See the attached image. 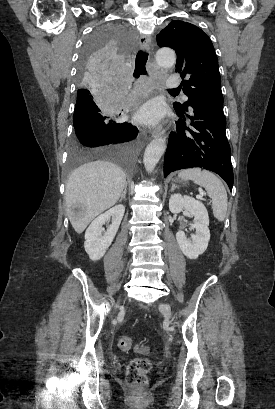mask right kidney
<instances>
[{
	"instance_id": "1",
	"label": "right kidney",
	"mask_w": 275,
	"mask_h": 409,
	"mask_svg": "<svg viewBox=\"0 0 275 409\" xmlns=\"http://www.w3.org/2000/svg\"><path fill=\"white\" fill-rule=\"evenodd\" d=\"M124 213L125 207L123 205H116V207H112L103 215H99L88 227L85 233L86 241L84 247L91 261H99V259L104 257L119 229ZM110 219H112V225H109L106 233L102 235L104 231L102 225H105Z\"/></svg>"
}]
</instances>
